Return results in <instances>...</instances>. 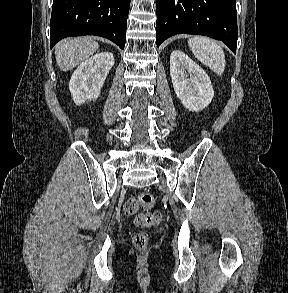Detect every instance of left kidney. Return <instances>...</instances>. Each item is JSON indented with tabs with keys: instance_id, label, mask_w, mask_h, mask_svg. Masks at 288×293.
Returning a JSON list of instances; mask_svg holds the SVG:
<instances>
[{
	"instance_id": "1",
	"label": "left kidney",
	"mask_w": 288,
	"mask_h": 293,
	"mask_svg": "<svg viewBox=\"0 0 288 293\" xmlns=\"http://www.w3.org/2000/svg\"><path fill=\"white\" fill-rule=\"evenodd\" d=\"M170 75L177 97L189 111H201L211 103L214 90L210 78L185 53H171Z\"/></svg>"
}]
</instances>
